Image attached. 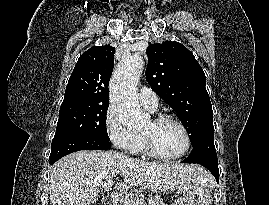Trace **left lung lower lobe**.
I'll return each mask as SVG.
<instances>
[{
    "mask_svg": "<svg viewBox=\"0 0 269 205\" xmlns=\"http://www.w3.org/2000/svg\"><path fill=\"white\" fill-rule=\"evenodd\" d=\"M183 163H197L207 168L219 182L218 159L214 145V133L203 136L193 145L191 154Z\"/></svg>",
    "mask_w": 269,
    "mask_h": 205,
    "instance_id": "obj_1",
    "label": "left lung lower lobe"
}]
</instances>
